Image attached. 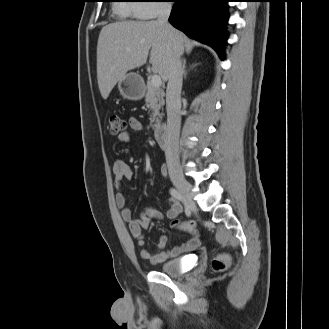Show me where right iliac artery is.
<instances>
[{
	"label": "right iliac artery",
	"mask_w": 329,
	"mask_h": 329,
	"mask_svg": "<svg viewBox=\"0 0 329 329\" xmlns=\"http://www.w3.org/2000/svg\"><path fill=\"white\" fill-rule=\"evenodd\" d=\"M170 194H171L174 198H176V199H178V200H182V199H183L181 193H180L178 190H176L175 188H171V189H170Z\"/></svg>",
	"instance_id": "obj_1"
}]
</instances>
